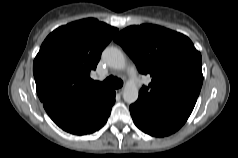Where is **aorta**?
I'll use <instances>...</instances> for the list:
<instances>
[{"label": "aorta", "instance_id": "aorta-1", "mask_svg": "<svg viewBox=\"0 0 238 158\" xmlns=\"http://www.w3.org/2000/svg\"><path fill=\"white\" fill-rule=\"evenodd\" d=\"M103 60L113 69L123 70L126 67V60L123 52L116 47H107L102 53ZM139 95L138 87L128 82L123 90V99L131 104L137 101Z\"/></svg>", "mask_w": 238, "mask_h": 158}]
</instances>
